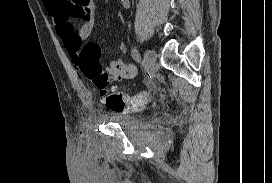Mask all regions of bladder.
Returning <instances> with one entry per match:
<instances>
[{
    "label": "bladder",
    "instance_id": "obj_1",
    "mask_svg": "<svg viewBox=\"0 0 272 183\" xmlns=\"http://www.w3.org/2000/svg\"><path fill=\"white\" fill-rule=\"evenodd\" d=\"M107 120L110 123L119 124L122 127H133L138 123L137 118L118 113L110 115Z\"/></svg>",
    "mask_w": 272,
    "mask_h": 183
}]
</instances>
